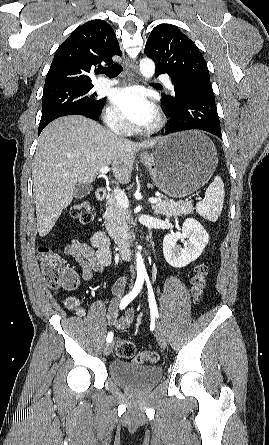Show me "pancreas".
<instances>
[{"mask_svg": "<svg viewBox=\"0 0 269 445\" xmlns=\"http://www.w3.org/2000/svg\"><path fill=\"white\" fill-rule=\"evenodd\" d=\"M157 199L158 203L152 206L156 215L176 217L193 213L194 208L191 202H174L163 196H159ZM107 205V210L103 215L106 230L116 243H125L129 238V210L119 204L114 193L108 196Z\"/></svg>", "mask_w": 269, "mask_h": 445, "instance_id": "cf45deb5", "label": "pancreas"}]
</instances>
